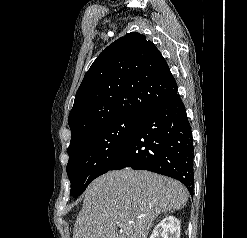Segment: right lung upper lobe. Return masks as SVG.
<instances>
[{
	"instance_id": "right-lung-upper-lobe-1",
	"label": "right lung upper lobe",
	"mask_w": 247,
	"mask_h": 238,
	"mask_svg": "<svg viewBox=\"0 0 247 238\" xmlns=\"http://www.w3.org/2000/svg\"><path fill=\"white\" fill-rule=\"evenodd\" d=\"M177 91L169 67L153 43L126 34L97 57L76 93L68 124L71 141L124 115H143Z\"/></svg>"
}]
</instances>
